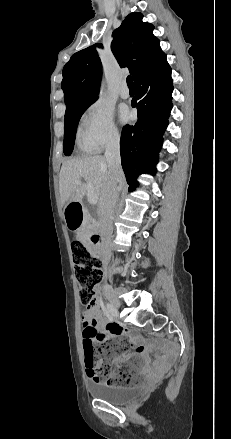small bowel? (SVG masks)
<instances>
[{
	"label": "small bowel",
	"instance_id": "obj_1",
	"mask_svg": "<svg viewBox=\"0 0 231 439\" xmlns=\"http://www.w3.org/2000/svg\"><path fill=\"white\" fill-rule=\"evenodd\" d=\"M82 325H83V348L87 343L97 345L102 341L104 337L103 330L106 328L109 336H120L127 338L132 344L136 345V348L132 354L126 355L121 358H117L111 369L110 374H114L116 370L121 366V363L132 360L134 355L138 360L144 365V375L152 376L155 370L150 365V359L143 345L139 344V339L135 337L129 328L123 326H116L111 322H107L105 319V313L101 310L99 303L93 301L92 306L87 308V310L82 315ZM165 363H163L164 365Z\"/></svg>",
	"mask_w": 231,
	"mask_h": 439
}]
</instances>
